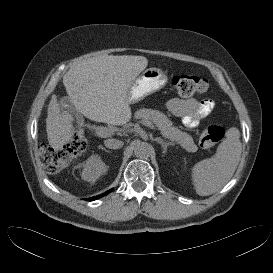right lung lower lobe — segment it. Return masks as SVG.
<instances>
[{"mask_svg": "<svg viewBox=\"0 0 273 273\" xmlns=\"http://www.w3.org/2000/svg\"><path fill=\"white\" fill-rule=\"evenodd\" d=\"M111 191H112V189H111V190H109V191H107L106 193L101 194V195H98V196H95V197L89 198L88 200H89V201L96 200V199H98V198H101L102 196L107 195V194H108V193H110Z\"/></svg>", "mask_w": 273, "mask_h": 273, "instance_id": "1", "label": "right lung lower lobe"}]
</instances>
